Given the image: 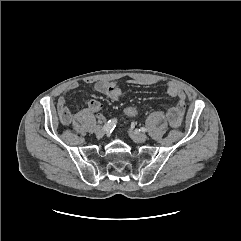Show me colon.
Returning <instances> with one entry per match:
<instances>
[{
    "instance_id": "colon-1",
    "label": "colon",
    "mask_w": 241,
    "mask_h": 241,
    "mask_svg": "<svg viewBox=\"0 0 241 241\" xmlns=\"http://www.w3.org/2000/svg\"><path fill=\"white\" fill-rule=\"evenodd\" d=\"M138 113V108L130 105L124 109V115L128 118L134 117Z\"/></svg>"
}]
</instances>
